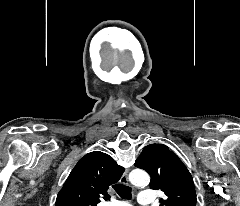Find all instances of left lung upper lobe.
<instances>
[{"mask_svg":"<svg viewBox=\"0 0 240 206\" xmlns=\"http://www.w3.org/2000/svg\"><path fill=\"white\" fill-rule=\"evenodd\" d=\"M135 166L147 171L151 176L150 188L161 190L166 198L160 206H196L193 178L178 158L163 144L146 146Z\"/></svg>","mask_w":240,"mask_h":206,"instance_id":"5c2ea615","label":"left lung upper lobe"}]
</instances>
